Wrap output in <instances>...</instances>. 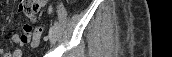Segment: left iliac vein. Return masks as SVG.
<instances>
[{"mask_svg": "<svg viewBox=\"0 0 172 57\" xmlns=\"http://www.w3.org/2000/svg\"><path fill=\"white\" fill-rule=\"evenodd\" d=\"M58 37V28L56 26H51L49 30V39L51 43H55Z\"/></svg>", "mask_w": 172, "mask_h": 57, "instance_id": "left-iliac-vein-1", "label": "left iliac vein"}]
</instances>
